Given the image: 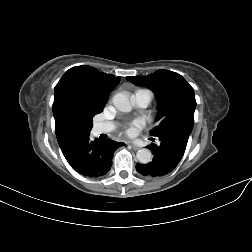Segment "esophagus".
Segmentation results:
<instances>
[{
    "mask_svg": "<svg viewBox=\"0 0 252 252\" xmlns=\"http://www.w3.org/2000/svg\"><path fill=\"white\" fill-rule=\"evenodd\" d=\"M131 145V147L133 148V150H138L139 147L137 145H135L134 143H129Z\"/></svg>",
    "mask_w": 252,
    "mask_h": 252,
    "instance_id": "34e87169",
    "label": "esophagus"
}]
</instances>
